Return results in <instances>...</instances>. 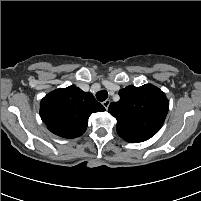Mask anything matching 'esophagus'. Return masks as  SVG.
I'll list each match as a JSON object with an SVG mask.
<instances>
[{
	"mask_svg": "<svg viewBox=\"0 0 201 201\" xmlns=\"http://www.w3.org/2000/svg\"><path fill=\"white\" fill-rule=\"evenodd\" d=\"M102 104L105 107V109L107 110L109 108V105H110V100L107 99Z\"/></svg>",
	"mask_w": 201,
	"mask_h": 201,
	"instance_id": "esophagus-1",
	"label": "esophagus"
}]
</instances>
